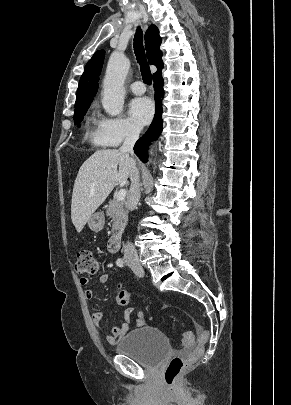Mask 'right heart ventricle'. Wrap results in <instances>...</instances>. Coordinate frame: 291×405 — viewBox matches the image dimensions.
<instances>
[{
  "mask_svg": "<svg viewBox=\"0 0 291 405\" xmlns=\"http://www.w3.org/2000/svg\"><path fill=\"white\" fill-rule=\"evenodd\" d=\"M95 122H96V120H95L94 116H91L89 118V125L87 128V136L94 144L99 145V146H104L100 141L99 134H98V127L97 128L95 127Z\"/></svg>",
  "mask_w": 291,
  "mask_h": 405,
  "instance_id": "1",
  "label": "right heart ventricle"
}]
</instances>
